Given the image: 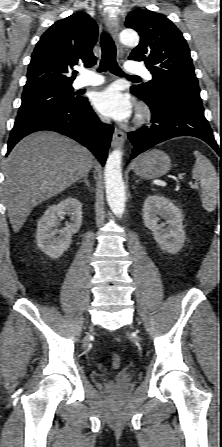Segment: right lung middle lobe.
Returning <instances> with one entry per match:
<instances>
[{"label": "right lung middle lobe", "mask_w": 222, "mask_h": 447, "mask_svg": "<svg viewBox=\"0 0 222 447\" xmlns=\"http://www.w3.org/2000/svg\"><path fill=\"white\" fill-rule=\"evenodd\" d=\"M78 100L79 97L74 96L72 86L23 92L17 118L46 112L52 108L75 103Z\"/></svg>", "instance_id": "dd1d6c3e"}]
</instances>
